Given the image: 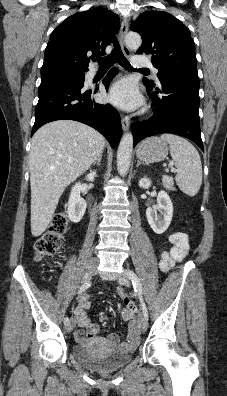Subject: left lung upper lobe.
<instances>
[{"instance_id":"obj_1","label":"left lung upper lobe","mask_w":227,"mask_h":396,"mask_svg":"<svg viewBox=\"0 0 227 396\" xmlns=\"http://www.w3.org/2000/svg\"><path fill=\"white\" fill-rule=\"evenodd\" d=\"M142 36L138 54H152V63L159 70V80L167 76L197 79L195 44L189 29L164 11H146L130 25ZM143 82L155 85L147 78Z\"/></svg>"}]
</instances>
